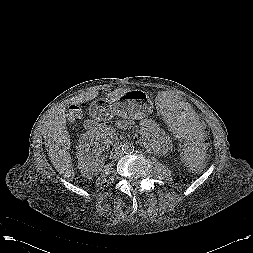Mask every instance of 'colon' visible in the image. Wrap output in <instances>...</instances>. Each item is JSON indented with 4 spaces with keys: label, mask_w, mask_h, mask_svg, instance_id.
I'll use <instances>...</instances> for the list:
<instances>
[{
    "label": "colon",
    "mask_w": 253,
    "mask_h": 253,
    "mask_svg": "<svg viewBox=\"0 0 253 253\" xmlns=\"http://www.w3.org/2000/svg\"><path fill=\"white\" fill-rule=\"evenodd\" d=\"M82 111H83L82 104H74V105L70 106L69 111H68V115L72 119H77L81 116Z\"/></svg>",
    "instance_id": "5ec220e1"
}]
</instances>
